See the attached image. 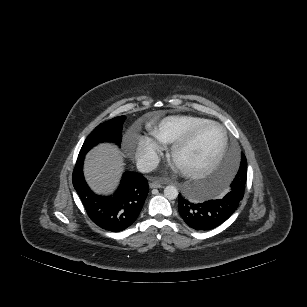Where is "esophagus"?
Returning a JSON list of instances; mask_svg holds the SVG:
<instances>
[{
	"label": "esophagus",
	"instance_id": "34e87169",
	"mask_svg": "<svg viewBox=\"0 0 307 307\" xmlns=\"http://www.w3.org/2000/svg\"><path fill=\"white\" fill-rule=\"evenodd\" d=\"M149 186H150V188H161L162 187L161 183H159L157 181H151L149 183Z\"/></svg>",
	"mask_w": 307,
	"mask_h": 307
}]
</instances>
